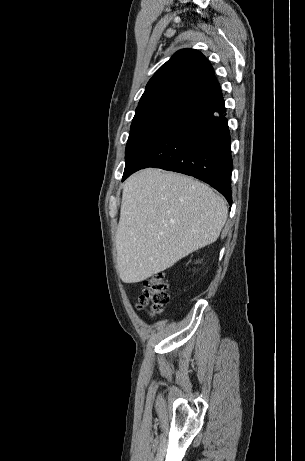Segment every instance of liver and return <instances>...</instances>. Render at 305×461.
I'll return each instance as SVG.
<instances>
[{
  "label": "liver",
  "instance_id": "6515ba94",
  "mask_svg": "<svg viewBox=\"0 0 305 461\" xmlns=\"http://www.w3.org/2000/svg\"><path fill=\"white\" fill-rule=\"evenodd\" d=\"M225 200L193 178L158 169L123 186L116 232L118 274L138 283L214 243L227 220Z\"/></svg>",
  "mask_w": 305,
  "mask_h": 461
}]
</instances>
